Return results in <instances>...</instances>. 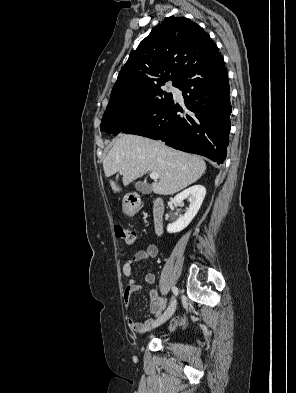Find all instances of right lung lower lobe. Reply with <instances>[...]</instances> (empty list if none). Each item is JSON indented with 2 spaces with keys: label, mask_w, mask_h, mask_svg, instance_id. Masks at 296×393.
<instances>
[{
  "label": "right lung lower lobe",
  "mask_w": 296,
  "mask_h": 393,
  "mask_svg": "<svg viewBox=\"0 0 296 393\" xmlns=\"http://www.w3.org/2000/svg\"><path fill=\"white\" fill-rule=\"evenodd\" d=\"M175 87L183 92V108L172 97L157 112L122 132L162 140L178 150L223 163L232 109L227 70L217 46L188 68Z\"/></svg>",
  "instance_id": "right-lung-lower-lobe-1"
}]
</instances>
